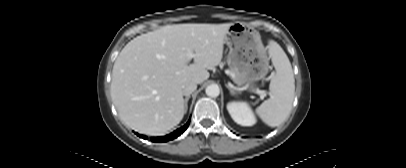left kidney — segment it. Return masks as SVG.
<instances>
[{
	"label": "left kidney",
	"mask_w": 406,
	"mask_h": 168,
	"mask_svg": "<svg viewBox=\"0 0 406 168\" xmlns=\"http://www.w3.org/2000/svg\"><path fill=\"white\" fill-rule=\"evenodd\" d=\"M227 110L237 124L252 126L256 123L253 111L245 102H230L227 104Z\"/></svg>",
	"instance_id": "5707ae66"
}]
</instances>
